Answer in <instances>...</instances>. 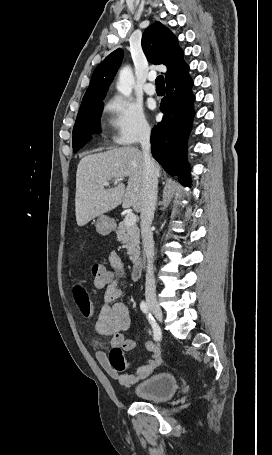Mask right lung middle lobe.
I'll return each instance as SVG.
<instances>
[{
  "label": "right lung middle lobe",
  "instance_id": "dd1d6c3e",
  "mask_svg": "<svg viewBox=\"0 0 272 455\" xmlns=\"http://www.w3.org/2000/svg\"><path fill=\"white\" fill-rule=\"evenodd\" d=\"M102 110L103 103L79 111L73 128L72 144L75 152L92 139V134L100 133V117Z\"/></svg>",
  "mask_w": 272,
  "mask_h": 455
}]
</instances>
